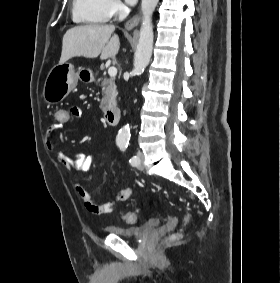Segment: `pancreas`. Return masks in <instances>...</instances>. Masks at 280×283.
I'll return each mask as SVG.
<instances>
[{
    "instance_id": "1",
    "label": "pancreas",
    "mask_w": 280,
    "mask_h": 283,
    "mask_svg": "<svg viewBox=\"0 0 280 283\" xmlns=\"http://www.w3.org/2000/svg\"><path fill=\"white\" fill-rule=\"evenodd\" d=\"M101 81V83H100ZM97 85L101 87L102 101L100 104L101 110L107 111L108 109L116 106L117 87L113 78L98 79Z\"/></svg>"
}]
</instances>
